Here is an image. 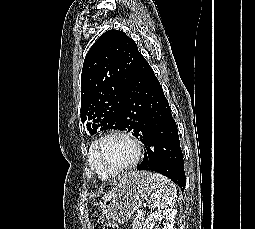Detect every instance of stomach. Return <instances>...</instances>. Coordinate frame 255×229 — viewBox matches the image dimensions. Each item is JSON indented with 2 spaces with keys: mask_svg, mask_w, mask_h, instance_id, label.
I'll use <instances>...</instances> for the list:
<instances>
[{
  "mask_svg": "<svg viewBox=\"0 0 255 229\" xmlns=\"http://www.w3.org/2000/svg\"><path fill=\"white\" fill-rule=\"evenodd\" d=\"M155 187L150 172L133 171L125 174L103 198L100 206L102 217L117 223L127 222Z\"/></svg>",
  "mask_w": 255,
  "mask_h": 229,
  "instance_id": "0dacf381",
  "label": "stomach"
}]
</instances>
